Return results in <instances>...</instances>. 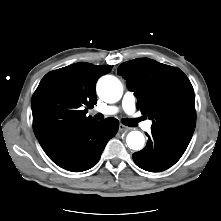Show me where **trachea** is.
Masks as SVG:
<instances>
[{
  "label": "trachea",
  "mask_w": 221,
  "mask_h": 221,
  "mask_svg": "<svg viewBox=\"0 0 221 221\" xmlns=\"http://www.w3.org/2000/svg\"><path fill=\"white\" fill-rule=\"evenodd\" d=\"M94 118L97 119V120H103L104 116L102 114L98 113L94 116ZM138 120L139 119L125 118V119H122V123L125 124L126 126L135 127L138 123Z\"/></svg>",
  "instance_id": "trachea-1"
}]
</instances>
